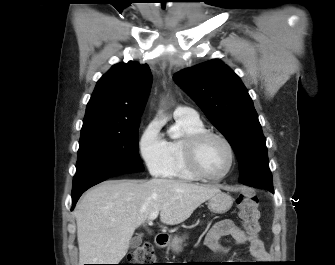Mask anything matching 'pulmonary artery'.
I'll return each mask as SVG.
<instances>
[{
  "label": "pulmonary artery",
  "mask_w": 335,
  "mask_h": 265,
  "mask_svg": "<svg viewBox=\"0 0 335 265\" xmlns=\"http://www.w3.org/2000/svg\"><path fill=\"white\" fill-rule=\"evenodd\" d=\"M174 117L194 121L199 120L198 113L194 109L185 106H178L174 111Z\"/></svg>",
  "instance_id": "1"
}]
</instances>
